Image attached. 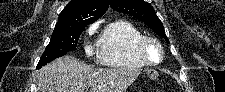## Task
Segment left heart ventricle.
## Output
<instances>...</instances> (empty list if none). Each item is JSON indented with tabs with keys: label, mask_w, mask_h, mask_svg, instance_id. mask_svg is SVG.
<instances>
[{
	"label": "left heart ventricle",
	"mask_w": 225,
	"mask_h": 92,
	"mask_svg": "<svg viewBox=\"0 0 225 92\" xmlns=\"http://www.w3.org/2000/svg\"><path fill=\"white\" fill-rule=\"evenodd\" d=\"M147 54L150 59H156L158 57V50L156 47L150 45L147 48Z\"/></svg>",
	"instance_id": "b2bd125f"
}]
</instances>
